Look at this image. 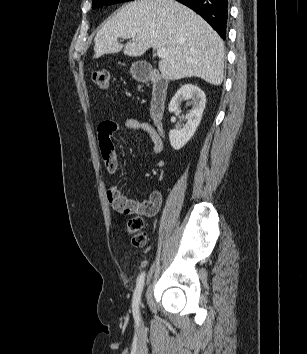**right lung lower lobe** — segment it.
<instances>
[{
    "instance_id": "1",
    "label": "right lung lower lobe",
    "mask_w": 307,
    "mask_h": 354,
    "mask_svg": "<svg viewBox=\"0 0 307 354\" xmlns=\"http://www.w3.org/2000/svg\"><path fill=\"white\" fill-rule=\"evenodd\" d=\"M201 15L225 39L228 0H177Z\"/></svg>"
}]
</instances>
